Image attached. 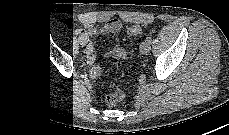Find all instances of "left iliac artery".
Here are the masks:
<instances>
[{
    "label": "left iliac artery",
    "mask_w": 229,
    "mask_h": 135,
    "mask_svg": "<svg viewBox=\"0 0 229 135\" xmlns=\"http://www.w3.org/2000/svg\"><path fill=\"white\" fill-rule=\"evenodd\" d=\"M146 42H148V43H151V37L150 36H148L147 38H146V40H145Z\"/></svg>",
    "instance_id": "44dca946"
}]
</instances>
